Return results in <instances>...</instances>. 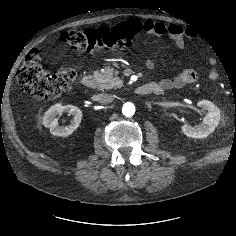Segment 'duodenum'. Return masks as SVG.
Segmentation results:
<instances>
[{"mask_svg": "<svg viewBox=\"0 0 236 236\" xmlns=\"http://www.w3.org/2000/svg\"><path fill=\"white\" fill-rule=\"evenodd\" d=\"M82 85L86 88L92 89L96 86V79L93 75H85L82 78ZM135 92L141 95L154 93V86L152 84H144L135 88Z\"/></svg>", "mask_w": 236, "mask_h": 236, "instance_id": "410a0bca", "label": "duodenum"}]
</instances>
